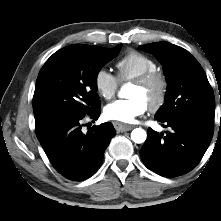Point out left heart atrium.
Returning a JSON list of instances; mask_svg holds the SVG:
<instances>
[{"label": "left heart atrium", "instance_id": "39dd6f15", "mask_svg": "<svg viewBox=\"0 0 221 221\" xmlns=\"http://www.w3.org/2000/svg\"><path fill=\"white\" fill-rule=\"evenodd\" d=\"M147 105L139 98L116 100L104 108V115L110 120L131 123L143 115Z\"/></svg>", "mask_w": 221, "mask_h": 221}]
</instances>
